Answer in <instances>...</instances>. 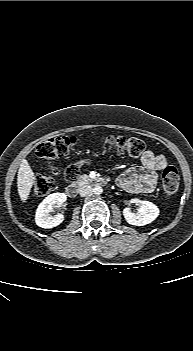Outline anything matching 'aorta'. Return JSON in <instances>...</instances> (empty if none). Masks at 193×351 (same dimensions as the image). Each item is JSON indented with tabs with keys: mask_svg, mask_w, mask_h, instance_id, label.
<instances>
[{
	"mask_svg": "<svg viewBox=\"0 0 193 351\" xmlns=\"http://www.w3.org/2000/svg\"><path fill=\"white\" fill-rule=\"evenodd\" d=\"M92 192L95 194V195H100L102 192H103V189L100 185H96L93 189H92Z\"/></svg>",
	"mask_w": 193,
	"mask_h": 351,
	"instance_id": "obj_1",
	"label": "aorta"
}]
</instances>
